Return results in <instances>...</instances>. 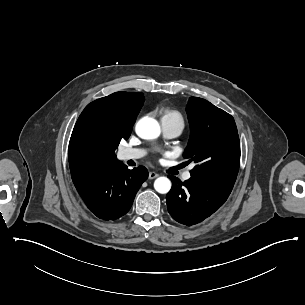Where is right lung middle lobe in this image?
Returning a JSON list of instances; mask_svg holds the SVG:
<instances>
[{"mask_svg":"<svg viewBox=\"0 0 305 305\" xmlns=\"http://www.w3.org/2000/svg\"><path fill=\"white\" fill-rule=\"evenodd\" d=\"M121 141L120 138H118L115 143H114V149H116L118 147L119 142Z\"/></svg>","mask_w":305,"mask_h":305,"instance_id":"dd1d6c3e","label":"right lung middle lobe"}]
</instances>
